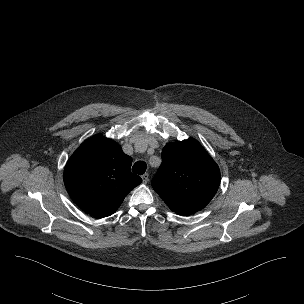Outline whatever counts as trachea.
Returning <instances> with one entry per match:
<instances>
[{
  "mask_svg": "<svg viewBox=\"0 0 304 304\" xmlns=\"http://www.w3.org/2000/svg\"><path fill=\"white\" fill-rule=\"evenodd\" d=\"M146 168H147V166H146V163H145L144 161H137V162L133 165L132 171H133L134 173H136V174L142 175V174L145 173Z\"/></svg>",
  "mask_w": 304,
  "mask_h": 304,
  "instance_id": "3493384b",
  "label": "trachea"
}]
</instances>
